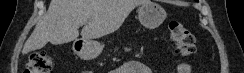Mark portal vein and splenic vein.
<instances>
[{
	"mask_svg": "<svg viewBox=\"0 0 244 73\" xmlns=\"http://www.w3.org/2000/svg\"><path fill=\"white\" fill-rule=\"evenodd\" d=\"M86 23H87V21H84V22H83V24H86Z\"/></svg>",
	"mask_w": 244,
	"mask_h": 73,
	"instance_id": "1",
	"label": "portal vein and splenic vein"
}]
</instances>
